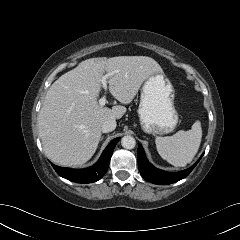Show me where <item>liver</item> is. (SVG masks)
I'll return each instance as SVG.
<instances>
[{
	"mask_svg": "<svg viewBox=\"0 0 240 240\" xmlns=\"http://www.w3.org/2000/svg\"><path fill=\"white\" fill-rule=\"evenodd\" d=\"M105 71L110 93L124 105L150 75L163 73L150 57L118 56L87 59L59 77L47 91L38 115L43 151L52 162L62 166L86 163L97 149L102 123L125 114V106L110 109L98 104Z\"/></svg>",
	"mask_w": 240,
	"mask_h": 240,
	"instance_id": "liver-1",
	"label": "liver"
}]
</instances>
